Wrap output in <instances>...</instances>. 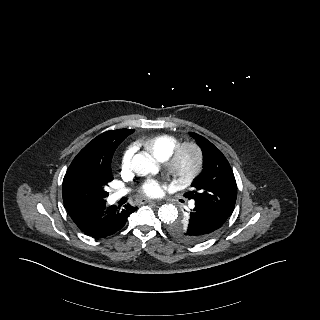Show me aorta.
Segmentation results:
<instances>
[{
	"label": "aorta",
	"instance_id": "1",
	"mask_svg": "<svg viewBox=\"0 0 320 320\" xmlns=\"http://www.w3.org/2000/svg\"><path fill=\"white\" fill-rule=\"evenodd\" d=\"M131 168L141 176L157 172V166L154 161L141 153L133 157ZM158 216L163 223L170 224L177 219L178 210L172 204H165L159 208Z\"/></svg>",
	"mask_w": 320,
	"mask_h": 320
}]
</instances>
